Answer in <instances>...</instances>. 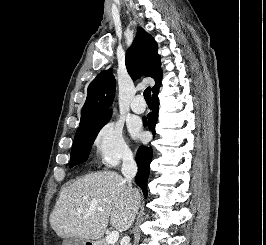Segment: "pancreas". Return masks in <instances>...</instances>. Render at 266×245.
I'll return each instance as SVG.
<instances>
[{"label": "pancreas", "instance_id": "obj_1", "mask_svg": "<svg viewBox=\"0 0 266 245\" xmlns=\"http://www.w3.org/2000/svg\"><path fill=\"white\" fill-rule=\"evenodd\" d=\"M98 245H107L106 241H99Z\"/></svg>", "mask_w": 266, "mask_h": 245}]
</instances>
